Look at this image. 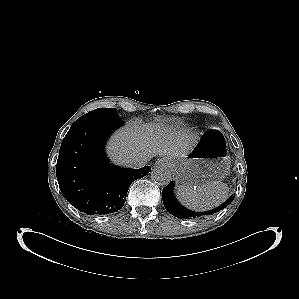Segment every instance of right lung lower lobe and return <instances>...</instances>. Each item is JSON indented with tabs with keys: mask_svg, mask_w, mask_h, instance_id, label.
<instances>
[{
	"mask_svg": "<svg viewBox=\"0 0 299 299\" xmlns=\"http://www.w3.org/2000/svg\"><path fill=\"white\" fill-rule=\"evenodd\" d=\"M122 120L72 125L64 137L56 165L60 191L88 215L116 212L125 203L129 186L151 171L120 168L109 162L104 145Z\"/></svg>",
	"mask_w": 299,
	"mask_h": 299,
	"instance_id": "98d812e1",
	"label": "right lung lower lobe"
}]
</instances>
